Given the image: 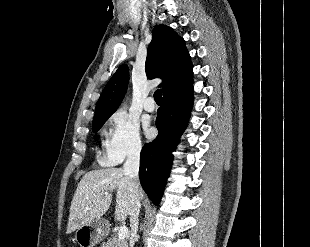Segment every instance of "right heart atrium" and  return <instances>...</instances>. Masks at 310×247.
Returning a JSON list of instances; mask_svg holds the SVG:
<instances>
[{
    "label": "right heart atrium",
    "mask_w": 310,
    "mask_h": 247,
    "mask_svg": "<svg viewBox=\"0 0 310 247\" xmlns=\"http://www.w3.org/2000/svg\"><path fill=\"white\" fill-rule=\"evenodd\" d=\"M110 123L102 162L116 165L127 158L138 157L143 148L138 122L124 110H118L111 116Z\"/></svg>",
    "instance_id": "d8ad5b80"
}]
</instances>
